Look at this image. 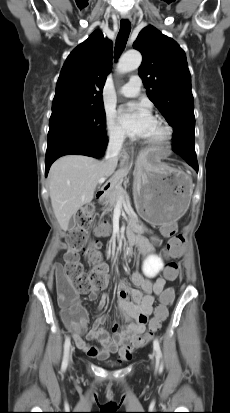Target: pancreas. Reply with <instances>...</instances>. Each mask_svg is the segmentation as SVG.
Here are the masks:
<instances>
[{"label":"pancreas","instance_id":"pancreas-1","mask_svg":"<svg viewBox=\"0 0 230 413\" xmlns=\"http://www.w3.org/2000/svg\"><path fill=\"white\" fill-rule=\"evenodd\" d=\"M120 198L124 200V204H126L128 208L129 225L134 229V231L141 232L143 226L141 225V222L139 221L137 215L132 211L127 192L120 186V184H116L113 188L106 192L103 198V204H105V206L107 207V211H112Z\"/></svg>","mask_w":230,"mask_h":413}]
</instances>
